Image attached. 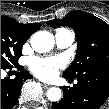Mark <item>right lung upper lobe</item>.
<instances>
[{
  "instance_id": "obj_1",
  "label": "right lung upper lobe",
  "mask_w": 109,
  "mask_h": 109,
  "mask_svg": "<svg viewBox=\"0 0 109 109\" xmlns=\"http://www.w3.org/2000/svg\"><path fill=\"white\" fill-rule=\"evenodd\" d=\"M40 24H22L16 20L1 16V27L4 29H11L15 31L20 37L24 38L26 41L28 38L40 28Z\"/></svg>"
}]
</instances>
